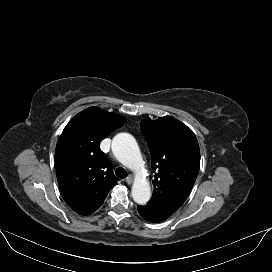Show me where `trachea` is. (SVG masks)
<instances>
[{
    "label": "trachea",
    "instance_id": "1",
    "mask_svg": "<svg viewBox=\"0 0 272 272\" xmlns=\"http://www.w3.org/2000/svg\"><path fill=\"white\" fill-rule=\"evenodd\" d=\"M115 174L117 175V177L124 179L127 177V172L124 168L122 167H118L115 171Z\"/></svg>",
    "mask_w": 272,
    "mask_h": 272
}]
</instances>
